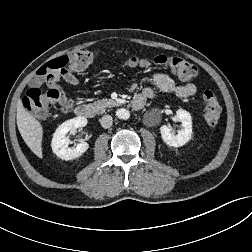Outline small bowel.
<instances>
[{
  "label": "small bowel",
  "mask_w": 252,
  "mask_h": 252,
  "mask_svg": "<svg viewBox=\"0 0 252 252\" xmlns=\"http://www.w3.org/2000/svg\"><path fill=\"white\" fill-rule=\"evenodd\" d=\"M60 77L74 87L79 84L77 77L70 71L64 70ZM151 78L153 84L161 91L173 93L180 98H187L196 93V86L193 83L179 84L176 80L163 73H154ZM154 94V90L151 87H145L135 98L143 99L145 102L146 99L153 98ZM72 106L73 102L69 99H67L65 104L61 105L64 111L71 109Z\"/></svg>",
  "instance_id": "small-bowel-1"
}]
</instances>
